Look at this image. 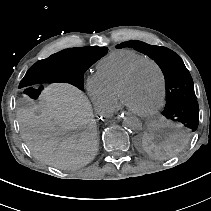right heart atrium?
<instances>
[{
    "label": "right heart atrium",
    "mask_w": 211,
    "mask_h": 211,
    "mask_svg": "<svg viewBox=\"0 0 211 211\" xmlns=\"http://www.w3.org/2000/svg\"><path fill=\"white\" fill-rule=\"evenodd\" d=\"M86 89L97 111L104 113L113 107L114 100L111 92L96 74L87 79Z\"/></svg>",
    "instance_id": "right-heart-atrium-1"
}]
</instances>
